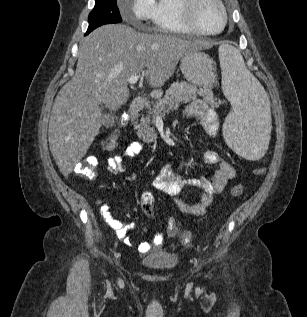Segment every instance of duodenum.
Wrapping results in <instances>:
<instances>
[{"mask_svg":"<svg viewBox=\"0 0 307 317\" xmlns=\"http://www.w3.org/2000/svg\"><path fill=\"white\" fill-rule=\"evenodd\" d=\"M144 105H145V100L142 98H137L133 100L130 105V110H129L130 114L132 116L138 115L143 110Z\"/></svg>","mask_w":307,"mask_h":317,"instance_id":"410a0bca","label":"duodenum"}]
</instances>
